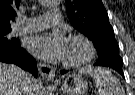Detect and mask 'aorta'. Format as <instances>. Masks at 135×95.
<instances>
[{
    "instance_id": "aorta-1",
    "label": "aorta",
    "mask_w": 135,
    "mask_h": 95,
    "mask_svg": "<svg viewBox=\"0 0 135 95\" xmlns=\"http://www.w3.org/2000/svg\"><path fill=\"white\" fill-rule=\"evenodd\" d=\"M45 6H54L58 0H41Z\"/></svg>"
}]
</instances>
